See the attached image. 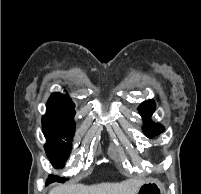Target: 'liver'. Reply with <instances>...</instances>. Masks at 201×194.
Instances as JSON below:
<instances>
[{"mask_svg": "<svg viewBox=\"0 0 201 194\" xmlns=\"http://www.w3.org/2000/svg\"><path fill=\"white\" fill-rule=\"evenodd\" d=\"M144 183L140 179H128L120 183H100L95 185L64 184L50 190L49 194H136Z\"/></svg>", "mask_w": 201, "mask_h": 194, "instance_id": "liver-1", "label": "liver"}]
</instances>
